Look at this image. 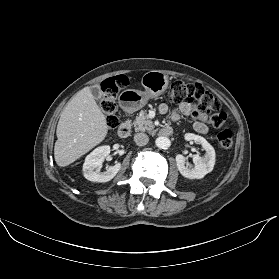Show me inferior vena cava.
<instances>
[{
  "label": "inferior vena cava",
  "mask_w": 279,
  "mask_h": 279,
  "mask_svg": "<svg viewBox=\"0 0 279 279\" xmlns=\"http://www.w3.org/2000/svg\"><path fill=\"white\" fill-rule=\"evenodd\" d=\"M134 141L138 146H144L148 143L149 138L145 133H137L134 135Z\"/></svg>",
  "instance_id": "602c4592"
}]
</instances>
